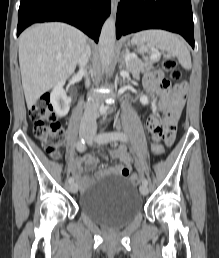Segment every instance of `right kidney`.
<instances>
[{
    "label": "right kidney",
    "instance_id": "ca27d5eb",
    "mask_svg": "<svg viewBox=\"0 0 219 258\" xmlns=\"http://www.w3.org/2000/svg\"><path fill=\"white\" fill-rule=\"evenodd\" d=\"M64 82V80L59 81L50 94L53 109L60 117H64L68 114L71 103V98L67 96L63 89Z\"/></svg>",
    "mask_w": 219,
    "mask_h": 258
}]
</instances>
